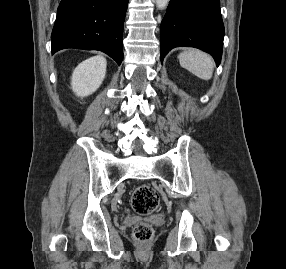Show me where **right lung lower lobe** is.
I'll return each instance as SVG.
<instances>
[{"mask_svg":"<svg viewBox=\"0 0 286 269\" xmlns=\"http://www.w3.org/2000/svg\"><path fill=\"white\" fill-rule=\"evenodd\" d=\"M129 0H61L52 30V53L65 48L100 50L118 65Z\"/></svg>","mask_w":286,"mask_h":269,"instance_id":"obj_1","label":"right lung lower lobe"}]
</instances>
